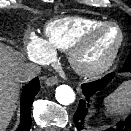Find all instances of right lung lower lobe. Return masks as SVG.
Segmentation results:
<instances>
[{"label": "right lung lower lobe", "mask_w": 131, "mask_h": 131, "mask_svg": "<svg viewBox=\"0 0 131 131\" xmlns=\"http://www.w3.org/2000/svg\"><path fill=\"white\" fill-rule=\"evenodd\" d=\"M40 90L39 78H34L23 88L20 100L21 123L16 131H29L31 127V106L35 95Z\"/></svg>", "instance_id": "obj_1"}]
</instances>
